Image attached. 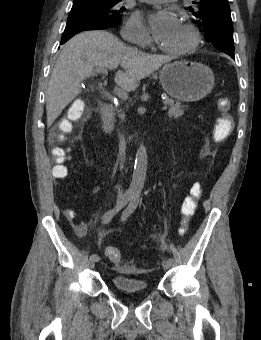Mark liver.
I'll return each instance as SVG.
<instances>
[{
	"instance_id": "1",
	"label": "liver",
	"mask_w": 261,
	"mask_h": 340,
	"mask_svg": "<svg viewBox=\"0 0 261 340\" xmlns=\"http://www.w3.org/2000/svg\"><path fill=\"white\" fill-rule=\"evenodd\" d=\"M170 57L149 55L125 46L106 31H86L75 35L62 48L49 80L46 96L47 126L81 92V83L91 77L95 67L123 71L115 82L126 91L135 90L141 79L158 70Z\"/></svg>"
}]
</instances>
